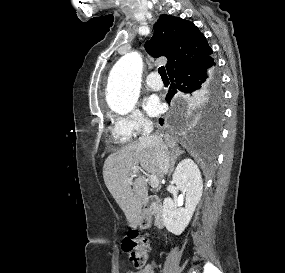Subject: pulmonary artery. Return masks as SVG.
Instances as JSON below:
<instances>
[{
	"instance_id": "e3ab8cb5",
	"label": "pulmonary artery",
	"mask_w": 285,
	"mask_h": 273,
	"mask_svg": "<svg viewBox=\"0 0 285 273\" xmlns=\"http://www.w3.org/2000/svg\"><path fill=\"white\" fill-rule=\"evenodd\" d=\"M146 86L154 91L162 89L163 82L159 79V75L157 72H151L146 77Z\"/></svg>"
}]
</instances>
